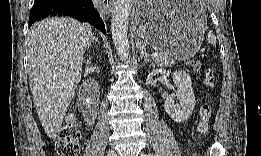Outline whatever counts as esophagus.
Instances as JSON below:
<instances>
[{
    "mask_svg": "<svg viewBox=\"0 0 261 156\" xmlns=\"http://www.w3.org/2000/svg\"><path fill=\"white\" fill-rule=\"evenodd\" d=\"M111 5L112 3H106L104 10H102V13L109 14L112 11Z\"/></svg>",
    "mask_w": 261,
    "mask_h": 156,
    "instance_id": "34e87169",
    "label": "esophagus"
}]
</instances>
